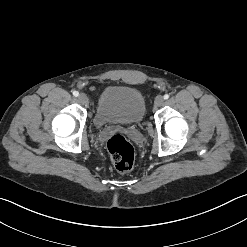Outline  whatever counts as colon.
<instances>
[{"mask_svg": "<svg viewBox=\"0 0 247 247\" xmlns=\"http://www.w3.org/2000/svg\"><path fill=\"white\" fill-rule=\"evenodd\" d=\"M107 152L114 167L119 172L131 170L135 159V151L125 136L115 134L110 137L107 142Z\"/></svg>", "mask_w": 247, "mask_h": 247, "instance_id": "5ec220e1", "label": "colon"}]
</instances>
